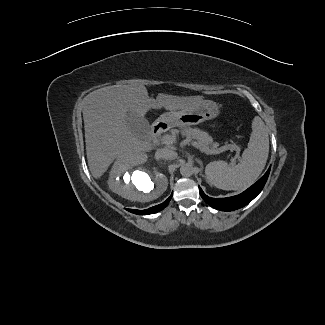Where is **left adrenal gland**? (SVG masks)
I'll use <instances>...</instances> for the list:
<instances>
[{
  "instance_id": "a2214340",
  "label": "left adrenal gland",
  "mask_w": 325,
  "mask_h": 325,
  "mask_svg": "<svg viewBox=\"0 0 325 325\" xmlns=\"http://www.w3.org/2000/svg\"><path fill=\"white\" fill-rule=\"evenodd\" d=\"M198 163L200 164L201 168L203 169V163H202V161L198 159ZM203 177L205 178L204 175H203ZM206 182H207V180H206Z\"/></svg>"
}]
</instances>
